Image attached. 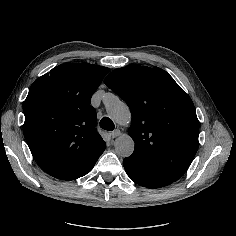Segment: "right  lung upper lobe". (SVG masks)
I'll return each mask as SVG.
<instances>
[{"instance_id": "1", "label": "right lung upper lobe", "mask_w": 236, "mask_h": 236, "mask_svg": "<svg viewBox=\"0 0 236 236\" xmlns=\"http://www.w3.org/2000/svg\"><path fill=\"white\" fill-rule=\"evenodd\" d=\"M109 69L66 63L39 77L23 105L24 134L38 165L49 175L76 179L103 153L91 96Z\"/></svg>"}]
</instances>
